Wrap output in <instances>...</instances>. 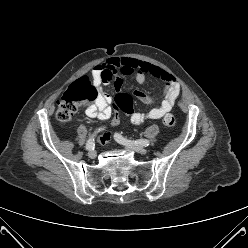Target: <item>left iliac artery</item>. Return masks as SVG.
<instances>
[{"instance_id": "left-iliac-artery-1", "label": "left iliac artery", "mask_w": 248, "mask_h": 248, "mask_svg": "<svg viewBox=\"0 0 248 248\" xmlns=\"http://www.w3.org/2000/svg\"><path fill=\"white\" fill-rule=\"evenodd\" d=\"M114 138L117 142L123 145L134 144V145L145 146V147L149 145V141L146 139H139L136 141H131V140L124 138L122 135L118 133H115Z\"/></svg>"}]
</instances>
